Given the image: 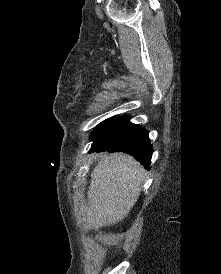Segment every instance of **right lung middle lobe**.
<instances>
[{
	"instance_id": "right-lung-middle-lobe-1",
	"label": "right lung middle lobe",
	"mask_w": 221,
	"mask_h": 274,
	"mask_svg": "<svg viewBox=\"0 0 221 274\" xmlns=\"http://www.w3.org/2000/svg\"><path fill=\"white\" fill-rule=\"evenodd\" d=\"M117 119H118V117H113V118H109V119L103 121L102 123H100L97 126V128L94 130V132H93V134H92V136L90 138L91 139L96 138L103 131H105L111 124H113Z\"/></svg>"
}]
</instances>
